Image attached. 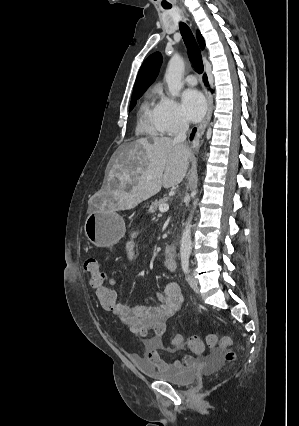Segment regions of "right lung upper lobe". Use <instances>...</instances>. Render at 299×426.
I'll use <instances>...</instances> for the list:
<instances>
[{"mask_svg":"<svg viewBox=\"0 0 299 426\" xmlns=\"http://www.w3.org/2000/svg\"><path fill=\"white\" fill-rule=\"evenodd\" d=\"M197 38L200 46L204 48V39L199 31H197ZM162 64V56L159 52L150 55L142 64L135 85L134 92L145 91L156 79L159 68Z\"/></svg>","mask_w":299,"mask_h":426,"instance_id":"1","label":"right lung upper lobe"}]
</instances>
